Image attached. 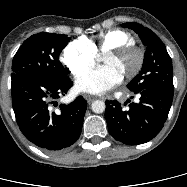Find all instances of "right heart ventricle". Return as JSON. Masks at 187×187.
<instances>
[{
  "label": "right heart ventricle",
  "mask_w": 187,
  "mask_h": 187,
  "mask_svg": "<svg viewBox=\"0 0 187 187\" xmlns=\"http://www.w3.org/2000/svg\"><path fill=\"white\" fill-rule=\"evenodd\" d=\"M96 55L105 54L107 51L123 44H135L134 37L120 29H113L99 33L92 39H87Z\"/></svg>",
  "instance_id": "obj_1"
}]
</instances>
